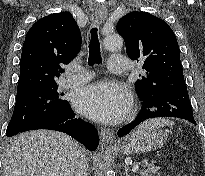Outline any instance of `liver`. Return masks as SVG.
<instances>
[{
	"instance_id": "6515ba94",
	"label": "liver",
	"mask_w": 205,
	"mask_h": 176,
	"mask_svg": "<svg viewBox=\"0 0 205 176\" xmlns=\"http://www.w3.org/2000/svg\"><path fill=\"white\" fill-rule=\"evenodd\" d=\"M80 149L74 139L61 132L21 133L5 151L3 176H74Z\"/></svg>"
}]
</instances>
